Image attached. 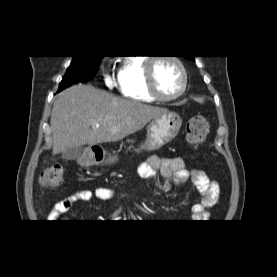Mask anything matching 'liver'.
<instances>
[{"instance_id":"obj_1","label":"liver","mask_w":277,"mask_h":277,"mask_svg":"<svg viewBox=\"0 0 277 277\" xmlns=\"http://www.w3.org/2000/svg\"><path fill=\"white\" fill-rule=\"evenodd\" d=\"M167 109L125 100L91 85H76L62 91L51 113L52 154L66 148L117 142L141 130ZM95 121L98 127L93 128Z\"/></svg>"}]
</instances>
